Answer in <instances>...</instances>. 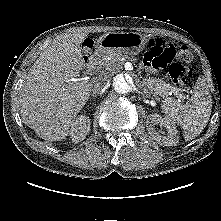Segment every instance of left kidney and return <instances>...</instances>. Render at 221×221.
<instances>
[{
  "mask_svg": "<svg viewBox=\"0 0 221 221\" xmlns=\"http://www.w3.org/2000/svg\"><path fill=\"white\" fill-rule=\"evenodd\" d=\"M164 126L167 129L166 135H161L159 132L155 130V125ZM147 130L149 135L153 140H155L158 144L163 146H175L179 143L178 131L174 125L166 118H162L158 114H152L149 116L147 121Z\"/></svg>",
  "mask_w": 221,
  "mask_h": 221,
  "instance_id": "1",
  "label": "left kidney"
}]
</instances>
